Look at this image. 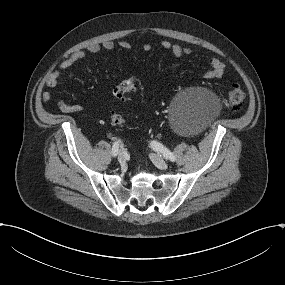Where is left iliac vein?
Returning a JSON list of instances; mask_svg holds the SVG:
<instances>
[{"instance_id":"1","label":"left iliac vein","mask_w":285,"mask_h":285,"mask_svg":"<svg viewBox=\"0 0 285 285\" xmlns=\"http://www.w3.org/2000/svg\"><path fill=\"white\" fill-rule=\"evenodd\" d=\"M149 158L158 168L163 170L168 169V164L158 154L150 153Z\"/></svg>"}]
</instances>
